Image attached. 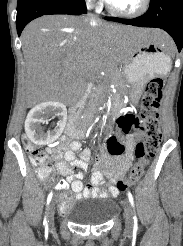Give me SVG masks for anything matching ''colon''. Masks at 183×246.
I'll list each match as a JSON object with an SVG mask.
<instances>
[{
  "label": "colon",
  "mask_w": 183,
  "mask_h": 246,
  "mask_svg": "<svg viewBox=\"0 0 183 246\" xmlns=\"http://www.w3.org/2000/svg\"><path fill=\"white\" fill-rule=\"evenodd\" d=\"M164 82L161 78H154L149 81L145 93L141 99V106L138 115L124 114L117 119V132L111 133L107 138L106 146L111 157H123L127 147L118 138H123L133 130L143 134L135 149L137 162L131 169L126 179L116 181L115 187L122 191L128 185L137 182L144 174L145 168L157 153L162 133L159 123V107L163 95ZM25 146L31 162L39 168V175L47 178L50 175V168L47 163L46 153L43 149L31 145L25 141ZM60 211H65L66 206L60 202Z\"/></svg>",
  "instance_id": "obj_1"
}]
</instances>
